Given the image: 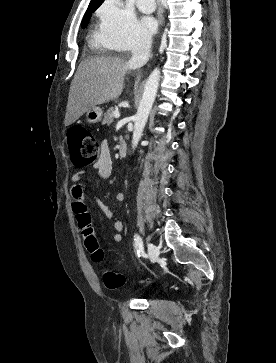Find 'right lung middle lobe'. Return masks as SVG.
I'll list each match as a JSON object with an SVG mask.
<instances>
[{
    "label": "right lung middle lobe",
    "instance_id": "right-lung-middle-lobe-1",
    "mask_svg": "<svg viewBox=\"0 0 276 363\" xmlns=\"http://www.w3.org/2000/svg\"><path fill=\"white\" fill-rule=\"evenodd\" d=\"M97 9V6H90L88 7L85 15H84V18L82 20V23H81V27L82 28H85L87 25H88V22L90 20V17L92 15V13H94V11Z\"/></svg>",
    "mask_w": 276,
    "mask_h": 363
}]
</instances>
